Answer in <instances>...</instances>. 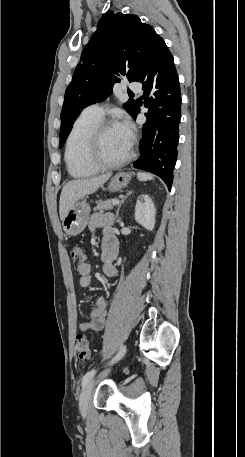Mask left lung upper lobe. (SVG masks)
Instances as JSON below:
<instances>
[{"instance_id":"1","label":"left lung upper lobe","mask_w":245,"mask_h":457,"mask_svg":"<svg viewBox=\"0 0 245 457\" xmlns=\"http://www.w3.org/2000/svg\"><path fill=\"white\" fill-rule=\"evenodd\" d=\"M163 39L152 26L132 14L108 11L82 52L66 89L61 112L60 147L69 135L82 108L108 97L121 76L137 81L152 51ZM136 105L129 99L124 108L130 114Z\"/></svg>"}]
</instances>
